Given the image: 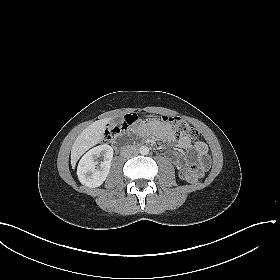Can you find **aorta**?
Segmentation results:
<instances>
[{"instance_id":"1","label":"aorta","mask_w":280,"mask_h":280,"mask_svg":"<svg viewBox=\"0 0 280 280\" xmlns=\"http://www.w3.org/2000/svg\"><path fill=\"white\" fill-rule=\"evenodd\" d=\"M139 152L142 155H147L149 153V148L146 146H142V147H140Z\"/></svg>"}]
</instances>
